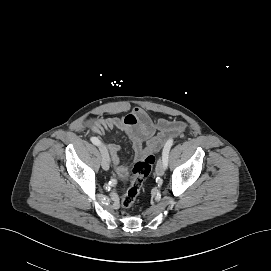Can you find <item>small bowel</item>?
Wrapping results in <instances>:
<instances>
[{
  "instance_id": "obj_1",
  "label": "small bowel",
  "mask_w": 271,
  "mask_h": 271,
  "mask_svg": "<svg viewBox=\"0 0 271 271\" xmlns=\"http://www.w3.org/2000/svg\"><path fill=\"white\" fill-rule=\"evenodd\" d=\"M88 125L90 130L98 135L107 131L126 134L132 143L136 160L157 151L168 137L181 133L186 126L181 121L166 119L153 121L145 110L138 107L122 118L93 119L88 122ZM107 148L111 154L116 174L122 179L127 178L129 167L120 162L118 155L120 147L117 144L109 143Z\"/></svg>"
}]
</instances>
